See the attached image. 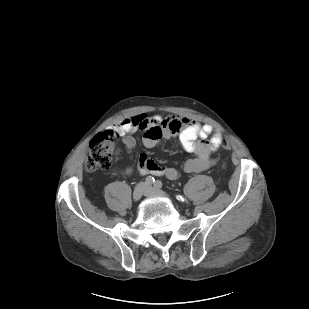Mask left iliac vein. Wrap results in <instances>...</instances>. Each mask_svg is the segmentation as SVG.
Segmentation results:
<instances>
[{"mask_svg":"<svg viewBox=\"0 0 309 309\" xmlns=\"http://www.w3.org/2000/svg\"><path fill=\"white\" fill-rule=\"evenodd\" d=\"M148 187V193L147 195H160V196H167L166 193H164L163 191L161 190H158V189H154L150 186H147Z\"/></svg>","mask_w":309,"mask_h":309,"instance_id":"left-iliac-vein-1","label":"left iliac vein"}]
</instances>
